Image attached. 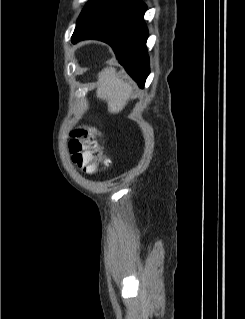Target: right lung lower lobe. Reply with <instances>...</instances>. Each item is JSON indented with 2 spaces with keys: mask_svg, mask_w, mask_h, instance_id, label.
<instances>
[{
  "mask_svg": "<svg viewBox=\"0 0 245 319\" xmlns=\"http://www.w3.org/2000/svg\"><path fill=\"white\" fill-rule=\"evenodd\" d=\"M145 11L146 5L141 0H131L96 24L75 31L73 42L97 39L108 43L129 75L143 88L150 72L146 48L148 30L143 19Z\"/></svg>",
  "mask_w": 245,
  "mask_h": 319,
  "instance_id": "right-lung-lower-lobe-1",
  "label": "right lung lower lobe"
}]
</instances>
